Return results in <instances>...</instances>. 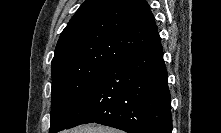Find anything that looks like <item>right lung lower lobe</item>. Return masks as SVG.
Segmentation results:
<instances>
[{
    "instance_id": "98d812e1",
    "label": "right lung lower lobe",
    "mask_w": 221,
    "mask_h": 133,
    "mask_svg": "<svg viewBox=\"0 0 221 133\" xmlns=\"http://www.w3.org/2000/svg\"><path fill=\"white\" fill-rule=\"evenodd\" d=\"M99 123L128 133H171V97L161 44L108 67L66 128Z\"/></svg>"
}]
</instances>
